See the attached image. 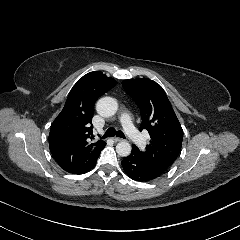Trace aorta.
Returning a JSON list of instances; mask_svg holds the SVG:
<instances>
[{
  "label": "aorta",
  "instance_id": "1",
  "mask_svg": "<svg viewBox=\"0 0 240 240\" xmlns=\"http://www.w3.org/2000/svg\"><path fill=\"white\" fill-rule=\"evenodd\" d=\"M119 109L118 101L110 96L102 97L96 104L97 112L103 117H111L117 113ZM131 144L122 140L117 143L116 151L120 156H128L131 153Z\"/></svg>",
  "mask_w": 240,
  "mask_h": 240
}]
</instances>
